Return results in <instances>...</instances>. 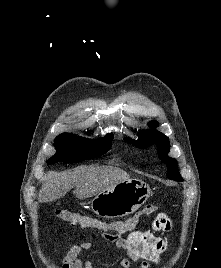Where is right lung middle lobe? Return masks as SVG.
<instances>
[{
    "instance_id": "obj_1",
    "label": "right lung middle lobe",
    "mask_w": 221,
    "mask_h": 268,
    "mask_svg": "<svg viewBox=\"0 0 221 268\" xmlns=\"http://www.w3.org/2000/svg\"><path fill=\"white\" fill-rule=\"evenodd\" d=\"M112 140V134L96 140L82 138L70 133L60 134L55 139L56 154L47 163L79 162L101 156L110 149Z\"/></svg>"
}]
</instances>
